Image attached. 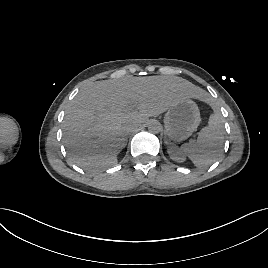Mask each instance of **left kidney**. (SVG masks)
Listing matches in <instances>:
<instances>
[{
	"mask_svg": "<svg viewBox=\"0 0 268 268\" xmlns=\"http://www.w3.org/2000/svg\"><path fill=\"white\" fill-rule=\"evenodd\" d=\"M168 153L170 158L176 162H183L185 160V157L176 146L169 147Z\"/></svg>",
	"mask_w": 268,
	"mask_h": 268,
	"instance_id": "5707ae66",
	"label": "left kidney"
}]
</instances>
